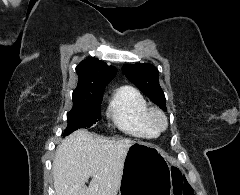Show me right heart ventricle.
Instances as JSON below:
<instances>
[{"instance_id": "e07e8e85", "label": "right heart ventricle", "mask_w": 240, "mask_h": 195, "mask_svg": "<svg viewBox=\"0 0 240 195\" xmlns=\"http://www.w3.org/2000/svg\"><path fill=\"white\" fill-rule=\"evenodd\" d=\"M148 109L147 101L137 89L123 87L111 98L106 116L121 132L139 138H153L157 131L148 122Z\"/></svg>"}]
</instances>
